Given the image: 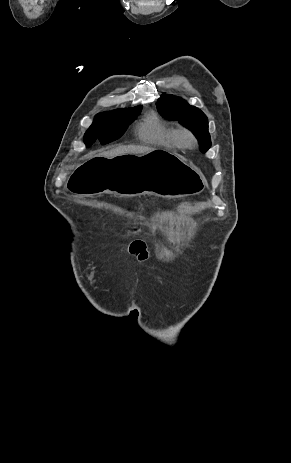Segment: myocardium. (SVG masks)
<instances>
[{"mask_svg": "<svg viewBox=\"0 0 291 463\" xmlns=\"http://www.w3.org/2000/svg\"><path fill=\"white\" fill-rule=\"evenodd\" d=\"M177 139L180 145L185 147H193L196 143L195 135L188 128H181L177 131Z\"/></svg>", "mask_w": 291, "mask_h": 463, "instance_id": "myocardium-1", "label": "myocardium"}]
</instances>
